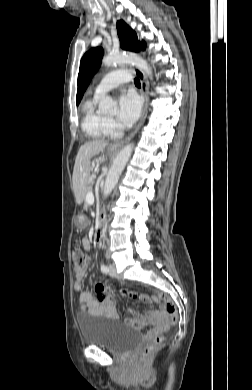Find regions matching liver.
<instances>
[{
    "label": "liver",
    "instance_id": "obj_1",
    "mask_svg": "<svg viewBox=\"0 0 252 390\" xmlns=\"http://www.w3.org/2000/svg\"><path fill=\"white\" fill-rule=\"evenodd\" d=\"M108 144L104 141L85 143L80 147L73 169V191L78 202H81L87 193V184L90 176V160L105 149Z\"/></svg>",
    "mask_w": 252,
    "mask_h": 390
}]
</instances>
